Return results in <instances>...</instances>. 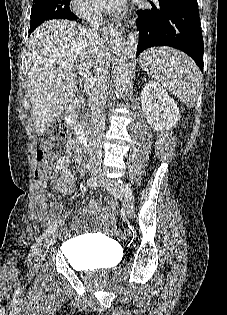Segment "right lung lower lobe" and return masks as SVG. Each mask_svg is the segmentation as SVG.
<instances>
[{"label":"right lung lower lobe","mask_w":227,"mask_h":315,"mask_svg":"<svg viewBox=\"0 0 227 315\" xmlns=\"http://www.w3.org/2000/svg\"><path fill=\"white\" fill-rule=\"evenodd\" d=\"M75 19H77V16H75V15L73 14V19H72V20H75Z\"/></svg>","instance_id":"1"}]
</instances>
